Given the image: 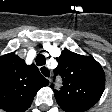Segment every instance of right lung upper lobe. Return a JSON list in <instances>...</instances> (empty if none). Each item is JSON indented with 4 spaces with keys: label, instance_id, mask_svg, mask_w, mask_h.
Segmentation results:
<instances>
[{
    "label": "right lung upper lobe",
    "instance_id": "right-lung-upper-lobe-1",
    "mask_svg": "<svg viewBox=\"0 0 112 112\" xmlns=\"http://www.w3.org/2000/svg\"><path fill=\"white\" fill-rule=\"evenodd\" d=\"M38 68L9 53L0 57V108L6 112H25L37 91L47 86Z\"/></svg>",
    "mask_w": 112,
    "mask_h": 112
}]
</instances>
